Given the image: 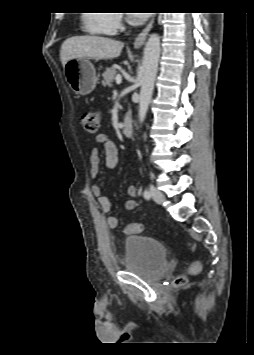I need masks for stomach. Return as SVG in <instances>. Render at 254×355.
Returning <instances> with one entry per match:
<instances>
[{"label":"stomach","mask_w":254,"mask_h":355,"mask_svg":"<svg viewBox=\"0 0 254 355\" xmlns=\"http://www.w3.org/2000/svg\"><path fill=\"white\" fill-rule=\"evenodd\" d=\"M66 80L71 89L80 95L91 93L97 84V75L94 65L87 58H74L65 66Z\"/></svg>","instance_id":"1"}]
</instances>
